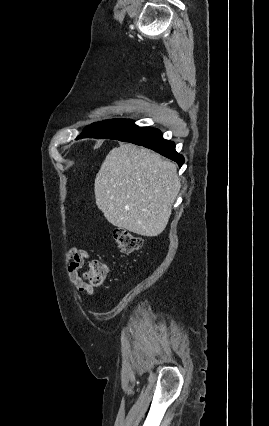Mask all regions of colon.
<instances>
[{"label":"colon","mask_w":269,"mask_h":426,"mask_svg":"<svg viewBox=\"0 0 269 426\" xmlns=\"http://www.w3.org/2000/svg\"><path fill=\"white\" fill-rule=\"evenodd\" d=\"M114 240L123 253H133L142 247V239L136 234L123 229L116 228L113 232ZM109 267L100 260H92L84 273V278L94 287H100L106 280Z\"/></svg>","instance_id":"1"}]
</instances>
